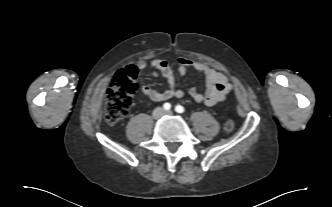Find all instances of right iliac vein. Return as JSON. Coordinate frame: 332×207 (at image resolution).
Instances as JSON below:
<instances>
[{
  "mask_svg": "<svg viewBox=\"0 0 332 207\" xmlns=\"http://www.w3.org/2000/svg\"><path fill=\"white\" fill-rule=\"evenodd\" d=\"M155 115H156L157 117L162 116V115H163V110H162L161 108L156 109V111H155Z\"/></svg>",
  "mask_w": 332,
  "mask_h": 207,
  "instance_id": "obj_1",
  "label": "right iliac vein"
}]
</instances>
